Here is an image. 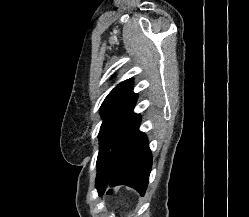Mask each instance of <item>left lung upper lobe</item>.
<instances>
[{
	"label": "left lung upper lobe",
	"instance_id": "5c2ea615",
	"mask_svg": "<svg viewBox=\"0 0 249 217\" xmlns=\"http://www.w3.org/2000/svg\"><path fill=\"white\" fill-rule=\"evenodd\" d=\"M132 87L131 79L119 83L100 107L103 123L98 136L100 147L97 168H102L107 173L113 168L120 127L137 101V94L133 93Z\"/></svg>",
	"mask_w": 249,
	"mask_h": 217
}]
</instances>
